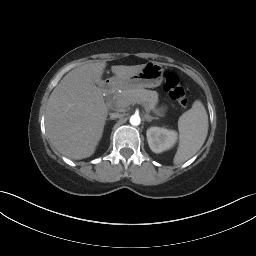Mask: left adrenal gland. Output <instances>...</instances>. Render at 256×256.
<instances>
[{"label": "left adrenal gland", "mask_w": 256, "mask_h": 256, "mask_svg": "<svg viewBox=\"0 0 256 256\" xmlns=\"http://www.w3.org/2000/svg\"><path fill=\"white\" fill-rule=\"evenodd\" d=\"M145 119L147 122H151L152 120H157L158 118L157 117H152L151 115L149 114H145Z\"/></svg>", "instance_id": "a2214340"}]
</instances>
